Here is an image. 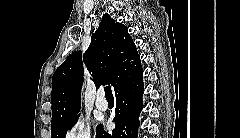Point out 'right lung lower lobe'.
Returning a JSON list of instances; mask_svg holds the SVG:
<instances>
[{
  "label": "right lung lower lobe",
  "instance_id": "98d812e1",
  "mask_svg": "<svg viewBox=\"0 0 240 138\" xmlns=\"http://www.w3.org/2000/svg\"><path fill=\"white\" fill-rule=\"evenodd\" d=\"M144 84L142 74L115 90V129L107 132L99 125L96 138H137L139 114L143 108Z\"/></svg>",
  "mask_w": 240,
  "mask_h": 138
}]
</instances>
